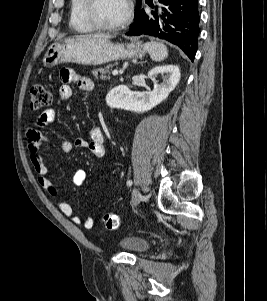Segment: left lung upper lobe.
Here are the masks:
<instances>
[{
  "instance_id": "5c2ea615",
  "label": "left lung upper lobe",
  "mask_w": 267,
  "mask_h": 301,
  "mask_svg": "<svg viewBox=\"0 0 267 301\" xmlns=\"http://www.w3.org/2000/svg\"><path fill=\"white\" fill-rule=\"evenodd\" d=\"M137 4H138V6H137V8H136L135 13L139 10V8H140V6H141V0H137Z\"/></svg>"
}]
</instances>
